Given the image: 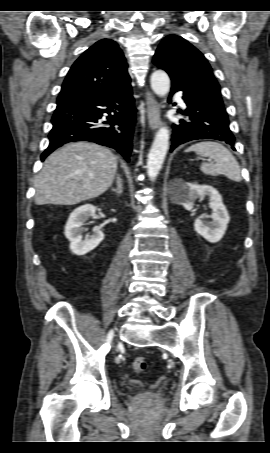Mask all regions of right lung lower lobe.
<instances>
[{
	"label": "right lung lower lobe",
	"mask_w": 270,
	"mask_h": 453,
	"mask_svg": "<svg viewBox=\"0 0 270 453\" xmlns=\"http://www.w3.org/2000/svg\"><path fill=\"white\" fill-rule=\"evenodd\" d=\"M135 111L130 82L97 98L58 103L52 118L50 144L41 160L65 143L85 140L114 148L129 161Z\"/></svg>",
	"instance_id": "obj_1"
}]
</instances>
